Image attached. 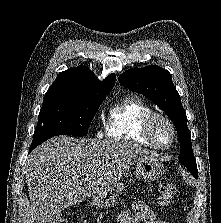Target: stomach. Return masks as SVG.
Here are the masks:
<instances>
[{"label":"stomach","instance_id":"0dacf381","mask_svg":"<svg viewBox=\"0 0 221 223\" xmlns=\"http://www.w3.org/2000/svg\"><path fill=\"white\" fill-rule=\"evenodd\" d=\"M162 173V165L156 159H141L139 160L135 176L139 180L154 181ZM125 186L122 183H117L104 193L95 196L92 199L91 206L105 208L113 206L118 202Z\"/></svg>","mask_w":221,"mask_h":223}]
</instances>
